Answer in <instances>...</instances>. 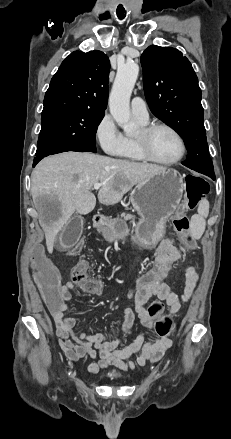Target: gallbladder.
I'll return each mask as SVG.
<instances>
[{
    "label": "gallbladder",
    "instance_id": "obj_1",
    "mask_svg": "<svg viewBox=\"0 0 231 439\" xmlns=\"http://www.w3.org/2000/svg\"><path fill=\"white\" fill-rule=\"evenodd\" d=\"M82 231L83 218L81 216L72 217L60 233L57 249L67 250L72 248L75 245V242L79 241Z\"/></svg>",
    "mask_w": 231,
    "mask_h": 439
}]
</instances>
